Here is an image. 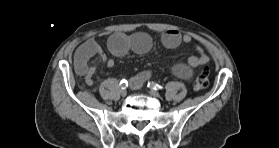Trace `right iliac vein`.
<instances>
[{
	"label": "right iliac vein",
	"instance_id": "63e3f726",
	"mask_svg": "<svg viewBox=\"0 0 279 148\" xmlns=\"http://www.w3.org/2000/svg\"><path fill=\"white\" fill-rule=\"evenodd\" d=\"M120 94H121V96H126L127 95V90L126 89H121Z\"/></svg>",
	"mask_w": 279,
	"mask_h": 148
}]
</instances>
